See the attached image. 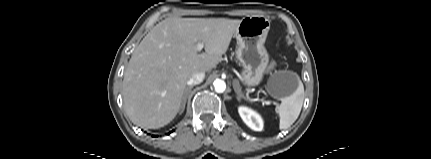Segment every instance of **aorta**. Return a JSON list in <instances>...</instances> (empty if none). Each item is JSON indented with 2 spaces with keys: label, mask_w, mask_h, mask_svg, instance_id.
Instances as JSON below:
<instances>
[{
  "label": "aorta",
  "mask_w": 431,
  "mask_h": 159,
  "mask_svg": "<svg viewBox=\"0 0 431 159\" xmlns=\"http://www.w3.org/2000/svg\"><path fill=\"white\" fill-rule=\"evenodd\" d=\"M213 86L217 93H223L226 90V83L221 79H216Z\"/></svg>",
  "instance_id": "obj_1"
}]
</instances>
